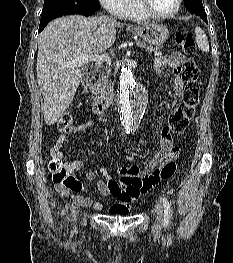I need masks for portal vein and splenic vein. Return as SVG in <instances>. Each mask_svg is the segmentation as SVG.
Wrapping results in <instances>:
<instances>
[{"instance_id": "portal-vein-and-splenic-vein-1", "label": "portal vein and splenic vein", "mask_w": 233, "mask_h": 263, "mask_svg": "<svg viewBox=\"0 0 233 263\" xmlns=\"http://www.w3.org/2000/svg\"><path fill=\"white\" fill-rule=\"evenodd\" d=\"M155 56H160L162 53L160 51L154 52ZM95 61L101 63L102 61H106L109 64L111 63V58L107 55H90V56H82L80 58L74 59L69 65L72 66H82L88 62Z\"/></svg>"}]
</instances>
